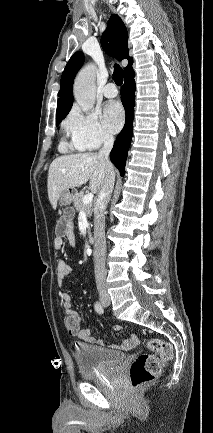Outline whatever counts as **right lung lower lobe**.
<instances>
[{
  "label": "right lung lower lobe",
  "mask_w": 213,
  "mask_h": 433,
  "mask_svg": "<svg viewBox=\"0 0 213 433\" xmlns=\"http://www.w3.org/2000/svg\"><path fill=\"white\" fill-rule=\"evenodd\" d=\"M133 68L124 75V85L121 89V101L126 111V122L116 137L114 147L110 153L111 162L119 169L121 176L125 174L127 152L132 138V122L135 106V81Z\"/></svg>",
  "instance_id": "1"
}]
</instances>
